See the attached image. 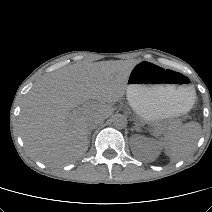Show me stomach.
I'll return each mask as SVG.
<instances>
[{
	"label": "stomach",
	"mask_w": 212,
	"mask_h": 212,
	"mask_svg": "<svg viewBox=\"0 0 212 212\" xmlns=\"http://www.w3.org/2000/svg\"><path fill=\"white\" fill-rule=\"evenodd\" d=\"M180 73L141 61L132 68L126 94L133 110L147 123L186 113L195 101V90Z\"/></svg>",
	"instance_id": "stomach-1"
}]
</instances>
